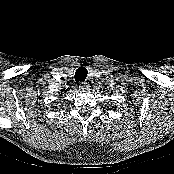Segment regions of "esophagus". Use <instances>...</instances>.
<instances>
[{
    "label": "esophagus",
    "instance_id": "obj_1",
    "mask_svg": "<svg viewBox=\"0 0 174 174\" xmlns=\"http://www.w3.org/2000/svg\"><path fill=\"white\" fill-rule=\"evenodd\" d=\"M78 88L79 90H84L88 88V85L86 82H80Z\"/></svg>",
    "mask_w": 174,
    "mask_h": 174
}]
</instances>
